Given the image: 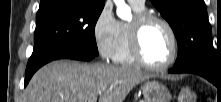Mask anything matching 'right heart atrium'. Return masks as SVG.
<instances>
[{
	"mask_svg": "<svg viewBox=\"0 0 221 102\" xmlns=\"http://www.w3.org/2000/svg\"><path fill=\"white\" fill-rule=\"evenodd\" d=\"M92 34L97 52L103 59L113 58L120 38V22L109 5H105L96 16Z\"/></svg>",
	"mask_w": 221,
	"mask_h": 102,
	"instance_id": "d8ad5b80",
	"label": "right heart atrium"
}]
</instances>
